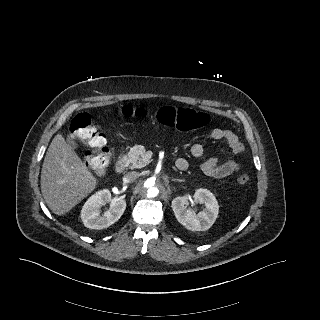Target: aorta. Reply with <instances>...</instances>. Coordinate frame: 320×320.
Segmentation results:
<instances>
[{"label":"aorta","instance_id":"obj_1","mask_svg":"<svg viewBox=\"0 0 320 320\" xmlns=\"http://www.w3.org/2000/svg\"><path fill=\"white\" fill-rule=\"evenodd\" d=\"M161 181L158 178L145 177L142 182V194L148 199H155L159 196Z\"/></svg>","mask_w":320,"mask_h":320}]
</instances>
